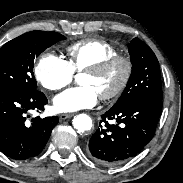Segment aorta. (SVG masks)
Returning a JSON list of instances; mask_svg holds the SVG:
<instances>
[{
  "instance_id": "762f6f07",
  "label": "aorta",
  "mask_w": 183,
  "mask_h": 183,
  "mask_svg": "<svg viewBox=\"0 0 183 183\" xmlns=\"http://www.w3.org/2000/svg\"><path fill=\"white\" fill-rule=\"evenodd\" d=\"M73 127L80 132L89 131L92 128V119L87 114H79L73 119Z\"/></svg>"
}]
</instances>
